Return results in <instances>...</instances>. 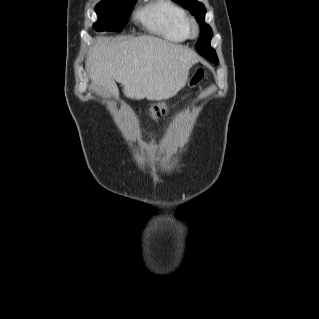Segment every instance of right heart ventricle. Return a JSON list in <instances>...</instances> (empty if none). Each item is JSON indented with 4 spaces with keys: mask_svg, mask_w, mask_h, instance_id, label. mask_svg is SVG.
Returning <instances> with one entry per match:
<instances>
[{
    "mask_svg": "<svg viewBox=\"0 0 319 319\" xmlns=\"http://www.w3.org/2000/svg\"><path fill=\"white\" fill-rule=\"evenodd\" d=\"M138 17L152 33L165 40L182 42L188 38L187 14L171 0H157L147 5Z\"/></svg>",
    "mask_w": 319,
    "mask_h": 319,
    "instance_id": "right-heart-ventricle-1",
    "label": "right heart ventricle"
}]
</instances>
